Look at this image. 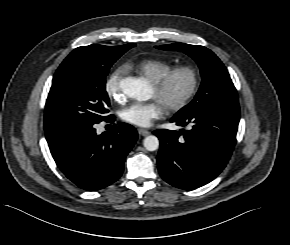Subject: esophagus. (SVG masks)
<instances>
[{
    "mask_svg": "<svg viewBox=\"0 0 290 245\" xmlns=\"http://www.w3.org/2000/svg\"><path fill=\"white\" fill-rule=\"evenodd\" d=\"M139 134L142 136H148L150 132L146 129H139Z\"/></svg>",
    "mask_w": 290,
    "mask_h": 245,
    "instance_id": "esophagus-1",
    "label": "esophagus"
}]
</instances>
